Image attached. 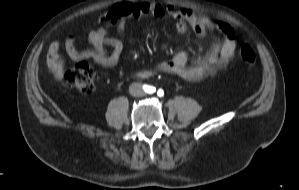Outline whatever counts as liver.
I'll return each mask as SVG.
<instances>
[{"label": "liver", "mask_w": 299, "mask_h": 190, "mask_svg": "<svg viewBox=\"0 0 299 190\" xmlns=\"http://www.w3.org/2000/svg\"><path fill=\"white\" fill-rule=\"evenodd\" d=\"M64 77V72H63V64L60 63L57 65L56 71H55V78L58 81H61Z\"/></svg>", "instance_id": "6515ba94"}]
</instances>
